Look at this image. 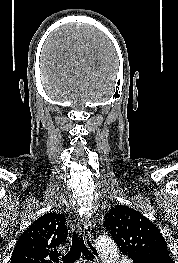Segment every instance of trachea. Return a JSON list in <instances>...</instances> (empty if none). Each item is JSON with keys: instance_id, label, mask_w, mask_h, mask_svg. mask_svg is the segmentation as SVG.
I'll return each mask as SVG.
<instances>
[{"instance_id": "trachea-1", "label": "trachea", "mask_w": 178, "mask_h": 263, "mask_svg": "<svg viewBox=\"0 0 178 263\" xmlns=\"http://www.w3.org/2000/svg\"><path fill=\"white\" fill-rule=\"evenodd\" d=\"M81 253L85 258L94 262V256L86 247L82 235L75 230L72 235V245L70 250L62 257V261L63 263H75L80 258Z\"/></svg>"}]
</instances>
